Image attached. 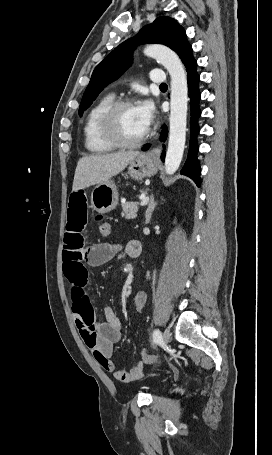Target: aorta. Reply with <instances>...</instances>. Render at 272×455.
I'll return each mask as SVG.
<instances>
[{"mask_svg": "<svg viewBox=\"0 0 272 455\" xmlns=\"http://www.w3.org/2000/svg\"><path fill=\"white\" fill-rule=\"evenodd\" d=\"M144 54L156 59L169 72L171 78L170 130L165 171L174 174L182 161L187 123L188 85L185 68L178 55L162 45H148Z\"/></svg>", "mask_w": 272, "mask_h": 455, "instance_id": "762f6f07", "label": "aorta"}]
</instances>
